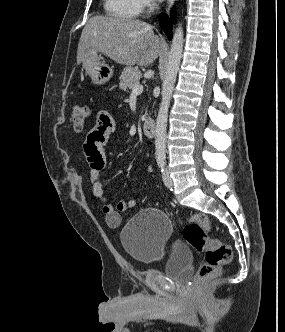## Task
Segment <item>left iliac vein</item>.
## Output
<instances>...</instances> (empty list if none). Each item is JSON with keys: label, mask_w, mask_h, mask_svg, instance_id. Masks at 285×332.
Returning <instances> with one entry per match:
<instances>
[{"label": "left iliac vein", "mask_w": 285, "mask_h": 332, "mask_svg": "<svg viewBox=\"0 0 285 332\" xmlns=\"http://www.w3.org/2000/svg\"><path fill=\"white\" fill-rule=\"evenodd\" d=\"M162 178H163V182L167 188L173 187V181H172V178L170 177L168 170H165L163 172Z\"/></svg>", "instance_id": "left-iliac-vein-1"}]
</instances>
